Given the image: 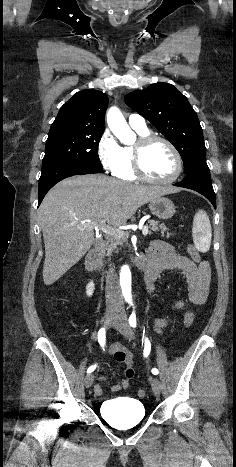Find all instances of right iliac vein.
<instances>
[{
    "label": "right iliac vein",
    "mask_w": 236,
    "mask_h": 467,
    "mask_svg": "<svg viewBox=\"0 0 236 467\" xmlns=\"http://www.w3.org/2000/svg\"><path fill=\"white\" fill-rule=\"evenodd\" d=\"M116 318H117V313L116 312H114V311L107 312L106 316H105L106 326L111 327L112 324L114 323V321L116 320ZM93 380H94V374L93 373L87 374V376L85 377V380H84L85 387L89 388L92 385Z\"/></svg>",
    "instance_id": "1"
}]
</instances>
